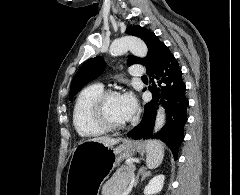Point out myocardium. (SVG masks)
Returning <instances> with one entry per match:
<instances>
[{
	"mask_svg": "<svg viewBox=\"0 0 240 195\" xmlns=\"http://www.w3.org/2000/svg\"><path fill=\"white\" fill-rule=\"evenodd\" d=\"M120 97L117 91L109 90L101 93L95 100L92 107L94 121L106 131L118 132L129 129L131 124H117L111 121L108 115V103L112 98Z\"/></svg>",
	"mask_w": 240,
	"mask_h": 195,
	"instance_id": "f54148a6",
	"label": "myocardium"
}]
</instances>
